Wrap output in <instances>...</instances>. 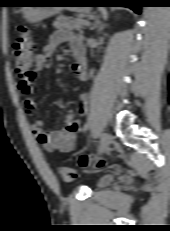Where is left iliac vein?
<instances>
[{"label":"left iliac vein","instance_id":"4c4485c4","mask_svg":"<svg viewBox=\"0 0 170 231\" xmlns=\"http://www.w3.org/2000/svg\"><path fill=\"white\" fill-rule=\"evenodd\" d=\"M112 135L108 132H104L101 137L99 152L104 153L112 142Z\"/></svg>","mask_w":170,"mask_h":231}]
</instances>
